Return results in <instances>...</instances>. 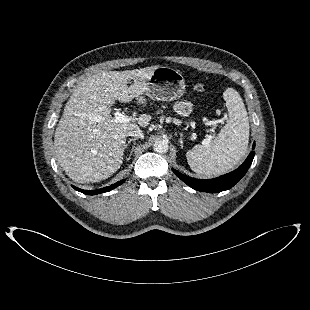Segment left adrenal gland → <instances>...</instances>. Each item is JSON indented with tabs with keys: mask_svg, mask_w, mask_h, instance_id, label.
Here are the masks:
<instances>
[{
	"mask_svg": "<svg viewBox=\"0 0 310 310\" xmlns=\"http://www.w3.org/2000/svg\"><path fill=\"white\" fill-rule=\"evenodd\" d=\"M179 143H180L181 148H183V139H182V135H181V137H180V139H179Z\"/></svg>",
	"mask_w": 310,
	"mask_h": 310,
	"instance_id": "obj_1",
	"label": "left adrenal gland"
}]
</instances>
